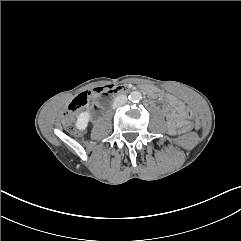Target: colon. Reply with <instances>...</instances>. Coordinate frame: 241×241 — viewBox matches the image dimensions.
I'll list each match as a JSON object with an SVG mask.
<instances>
[{"mask_svg": "<svg viewBox=\"0 0 241 241\" xmlns=\"http://www.w3.org/2000/svg\"><path fill=\"white\" fill-rule=\"evenodd\" d=\"M101 92H102V88H95L90 91L84 92V93L80 94L78 97H76L64 115L65 123L71 124L73 121L74 111H76L77 109L86 105L90 99L94 98ZM187 115L190 117L192 115V113L188 112ZM194 130H195V125L193 123H188L186 125V127L181 129L180 132H181V134H186L188 132H193ZM75 133L77 134L76 131H75Z\"/></svg>", "mask_w": 241, "mask_h": 241, "instance_id": "5ec220e1", "label": "colon"}]
</instances>
